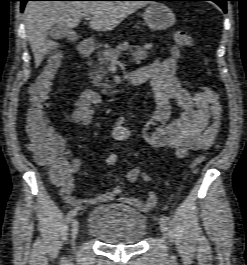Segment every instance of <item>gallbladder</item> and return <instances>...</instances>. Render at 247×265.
<instances>
[{
    "instance_id": "obj_1",
    "label": "gallbladder",
    "mask_w": 247,
    "mask_h": 265,
    "mask_svg": "<svg viewBox=\"0 0 247 265\" xmlns=\"http://www.w3.org/2000/svg\"><path fill=\"white\" fill-rule=\"evenodd\" d=\"M71 33H72L71 29L60 25H54L48 31V35L56 40H61L67 37L68 35H70Z\"/></svg>"
}]
</instances>
